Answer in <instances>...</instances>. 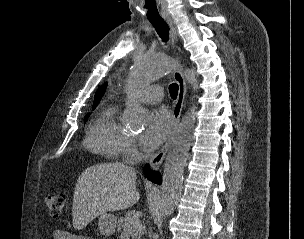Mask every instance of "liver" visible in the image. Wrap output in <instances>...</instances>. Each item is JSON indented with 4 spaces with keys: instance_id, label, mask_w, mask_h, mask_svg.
I'll use <instances>...</instances> for the list:
<instances>
[{
    "instance_id": "1",
    "label": "liver",
    "mask_w": 304,
    "mask_h": 239,
    "mask_svg": "<svg viewBox=\"0 0 304 239\" xmlns=\"http://www.w3.org/2000/svg\"><path fill=\"white\" fill-rule=\"evenodd\" d=\"M136 172L124 164L90 166L79 176L73 195V226L86 227L97 216L127 209L139 201Z\"/></svg>"
}]
</instances>
